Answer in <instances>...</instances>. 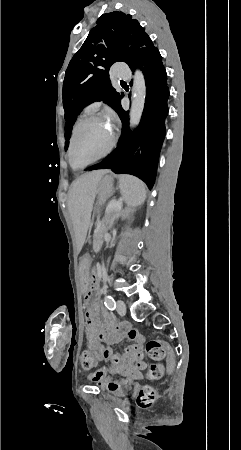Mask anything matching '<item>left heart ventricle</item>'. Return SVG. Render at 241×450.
I'll use <instances>...</instances> for the list:
<instances>
[{"instance_id":"1","label":"left heart ventricle","mask_w":241,"mask_h":450,"mask_svg":"<svg viewBox=\"0 0 241 450\" xmlns=\"http://www.w3.org/2000/svg\"><path fill=\"white\" fill-rule=\"evenodd\" d=\"M78 130L76 137L80 140V145L75 147L77 156L76 165H86L88 160H100L102 152L106 150L104 146L111 137L110 125L107 117L101 113H88L78 120Z\"/></svg>"}]
</instances>
